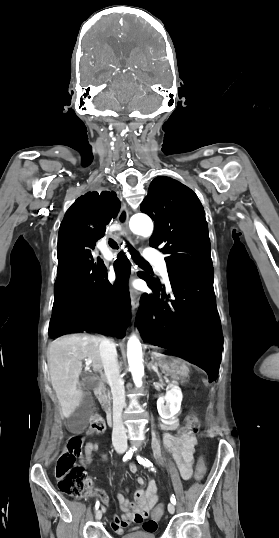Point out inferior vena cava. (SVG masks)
I'll use <instances>...</instances> for the list:
<instances>
[{"label": "inferior vena cava", "instance_id": "inferior-vena-cava-1", "mask_svg": "<svg viewBox=\"0 0 279 538\" xmlns=\"http://www.w3.org/2000/svg\"><path fill=\"white\" fill-rule=\"evenodd\" d=\"M113 339H107L104 337L103 341L100 343V355L102 356L103 366L105 370V375L107 377V382L111 385V392L113 394V434L112 442L115 449L119 453L125 452L127 449V439L125 438L127 429L124 428L125 422H122V408L125 403L124 395V381H119L121 375H119V366L117 365V353Z\"/></svg>", "mask_w": 279, "mask_h": 538}]
</instances>
